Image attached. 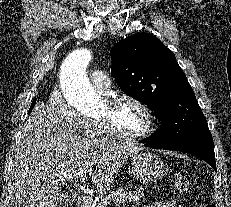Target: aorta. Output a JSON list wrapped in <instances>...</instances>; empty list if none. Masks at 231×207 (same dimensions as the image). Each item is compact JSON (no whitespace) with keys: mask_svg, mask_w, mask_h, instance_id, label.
<instances>
[{"mask_svg":"<svg viewBox=\"0 0 231 207\" xmlns=\"http://www.w3.org/2000/svg\"><path fill=\"white\" fill-rule=\"evenodd\" d=\"M91 60L92 53L89 49H76L66 56L60 69L64 98L71 106L84 113L98 108L102 103L86 74Z\"/></svg>","mask_w":231,"mask_h":207,"instance_id":"762f6f07","label":"aorta"}]
</instances>
